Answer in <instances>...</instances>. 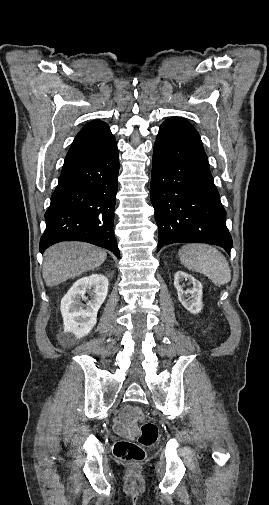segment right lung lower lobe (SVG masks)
Returning <instances> with one entry per match:
<instances>
[{
  "instance_id": "obj_1",
  "label": "right lung lower lobe",
  "mask_w": 269,
  "mask_h": 505,
  "mask_svg": "<svg viewBox=\"0 0 269 505\" xmlns=\"http://www.w3.org/2000/svg\"><path fill=\"white\" fill-rule=\"evenodd\" d=\"M118 172L116 142L99 153L63 165L45 213L41 253L61 241H84L119 257L113 233Z\"/></svg>"
}]
</instances>
